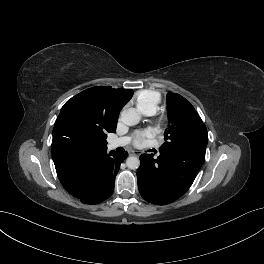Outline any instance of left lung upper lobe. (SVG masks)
<instances>
[{"instance_id": "5c2ea615", "label": "left lung upper lobe", "mask_w": 264, "mask_h": 264, "mask_svg": "<svg viewBox=\"0 0 264 264\" xmlns=\"http://www.w3.org/2000/svg\"><path fill=\"white\" fill-rule=\"evenodd\" d=\"M167 105L171 125L164 133L165 142L160 149L166 152L185 149L192 154L194 146H206V126L191 103L179 94L168 93Z\"/></svg>"}]
</instances>
